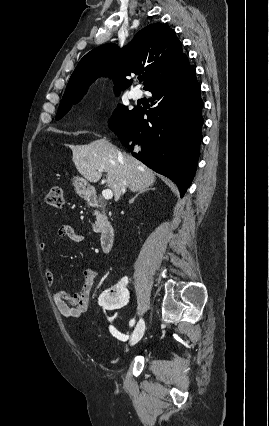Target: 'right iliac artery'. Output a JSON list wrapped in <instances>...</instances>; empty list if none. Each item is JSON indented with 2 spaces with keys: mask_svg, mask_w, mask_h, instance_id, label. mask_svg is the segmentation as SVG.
Returning <instances> with one entry per match:
<instances>
[{
  "mask_svg": "<svg viewBox=\"0 0 269 426\" xmlns=\"http://www.w3.org/2000/svg\"><path fill=\"white\" fill-rule=\"evenodd\" d=\"M134 324H135V320L134 319L130 320L129 325L132 327Z\"/></svg>",
  "mask_w": 269,
  "mask_h": 426,
  "instance_id": "right-iliac-artery-1",
  "label": "right iliac artery"
}]
</instances>
